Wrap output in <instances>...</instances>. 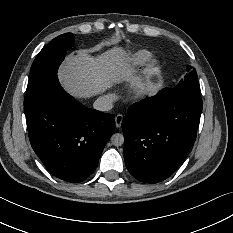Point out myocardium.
Listing matches in <instances>:
<instances>
[{"label": "myocardium", "instance_id": "myocardium-1", "mask_svg": "<svg viewBox=\"0 0 233 233\" xmlns=\"http://www.w3.org/2000/svg\"><path fill=\"white\" fill-rule=\"evenodd\" d=\"M160 70V60L153 58L142 75L135 81L132 94L135 98H144L154 87Z\"/></svg>", "mask_w": 233, "mask_h": 233}]
</instances>
